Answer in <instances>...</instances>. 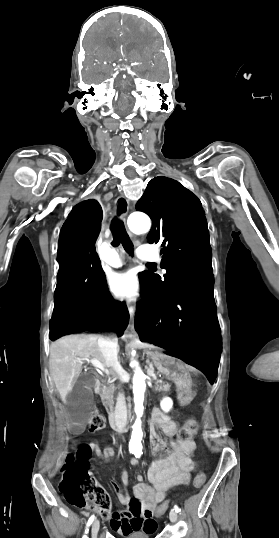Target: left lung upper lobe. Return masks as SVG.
Segmentation results:
<instances>
[{"label": "left lung upper lobe", "mask_w": 279, "mask_h": 538, "mask_svg": "<svg viewBox=\"0 0 279 538\" xmlns=\"http://www.w3.org/2000/svg\"><path fill=\"white\" fill-rule=\"evenodd\" d=\"M136 210L152 219L148 242L163 247L161 266L167 271L164 279L150 271L139 274L150 295L144 310L152 311L172 290L213 274L209 231L200 200L170 178L151 180Z\"/></svg>", "instance_id": "left-lung-upper-lobe-1"}]
</instances>
